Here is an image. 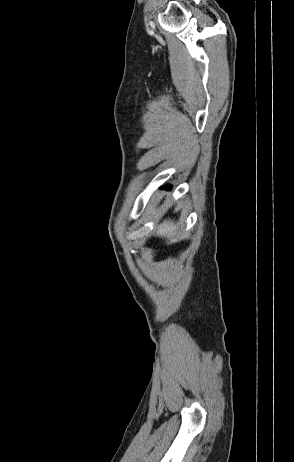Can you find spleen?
<instances>
[{"label":"spleen","mask_w":294,"mask_h":462,"mask_svg":"<svg viewBox=\"0 0 294 462\" xmlns=\"http://www.w3.org/2000/svg\"><path fill=\"white\" fill-rule=\"evenodd\" d=\"M175 229L174 224L172 222H164L158 231L160 236L166 237L172 234L173 230Z\"/></svg>","instance_id":"3e777b00"}]
</instances>
